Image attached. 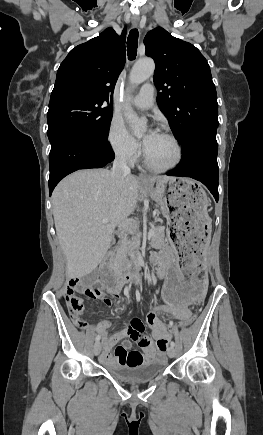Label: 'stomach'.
<instances>
[{
    "label": "stomach",
    "instance_id": "obj_1",
    "mask_svg": "<svg viewBox=\"0 0 263 435\" xmlns=\"http://www.w3.org/2000/svg\"><path fill=\"white\" fill-rule=\"evenodd\" d=\"M146 188L172 222L167 233L174 256L161 262L159 275L168 279L158 285V296L163 305H201L209 286L204 256L213 233L207 194L198 182L183 177L152 178Z\"/></svg>",
    "mask_w": 263,
    "mask_h": 435
}]
</instances>
